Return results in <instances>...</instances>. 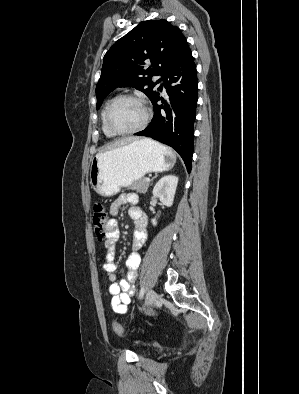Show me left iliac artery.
Instances as JSON below:
<instances>
[{
	"mask_svg": "<svg viewBox=\"0 0 299 394\" xmlns=\"http://www.w3.org/2000/svg\"><path fill=\"white\" fill-rule=\"evenodd\" d=\"M145 289L144 287L141 288L140 293H139V298L141 299L144 296Z\"/></svg>",
	"mask_w": 299,
	"mask_h": 394,
	"instance_id": "left-iliac-artery-1",
	"label": "left iliac artery"
}]
</instances>
